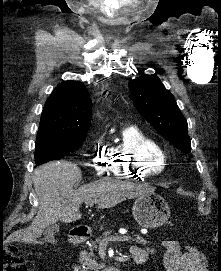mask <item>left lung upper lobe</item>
Segmentation results:
<instances>
[{
    "instance_id": "1",
    "label": "left lung upper lobe",
    "mask_w": 221,
    "mask_h": 271,
    "mask_svg": "<svg viewBox=\"0 0 221 271\" xmlns=\"http://www.w3.org/2000/svg\"><path fill=\"white\" fill-rule=\"evenodd\" d=\"M133 103L140 114L166 139L188 153L191 140L187 121L174 96L164 87L157 75H142L129 81Z\"/></svg>"
}]
</instances>
